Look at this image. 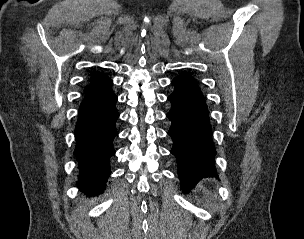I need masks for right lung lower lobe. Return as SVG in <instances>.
Here are the masks:
<instances>
[{
	"mask_svg": "<svg viewBox=\"0 0 304 239\" xmlns=\"http://www.w3.org/2000/svg\"><path fill=\"white\" fill-rule=\"evenodd\" d=\"M117 99L112 80L101 74L90 83L79 108L74 154L79 162V188L89 195L99 194L110 175L109 160L115 153L112 141L118 134Z\"/></svg>",
	"mask_w": 304,
	"mask_h": 239,
	"instance_id": "obj_1",
	"label": "right lung lower lobe"
}]
</instances>
